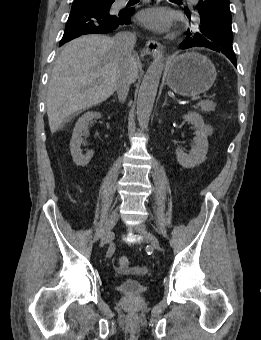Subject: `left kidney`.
I'll return each instance as SVG.
<instances>
[{
    "mask_svg": "<svg viewBox=\"0 0 261 340\" xmlns=\"http://www.w3.org/2000/svg\"><path fill=\"white\" fill-rule=\"evenodd\" d=\"M183 119L195 126L196 137L194 138V145L189 154L178 148L176 149V157L179 164L184 168H193L206 160L208 152L207 131L204 120L198 113L189 112L183 116Z\"/></svg>",
    "mask_w": 261,
    "mask_h": 340,
    "instance_id": "1",
    "label": "left kidney"
}]
</instances>
